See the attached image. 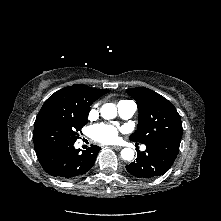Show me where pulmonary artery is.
Masks as SVG:
<instances>
[{
  "instance_id": "1",
  "label": "pulmonary artery",
  "mask_w": 221,
  "mask_h": 221,
  "mask_svg": "<svg viewBox=\"0 0 221 221\" xmlns=\"http://www.w3.org/2000/svg\"><path fill=\"white\" fill-rule=\"evenodd\" d=\"M117 108H118L119 115L123 119H129L134 115L137 107H136L135 102L131 100H122L117 104ZM145 148L146 147L144 145L141 147L142 150H145Z\"/></svg>"
}]
</instances>
